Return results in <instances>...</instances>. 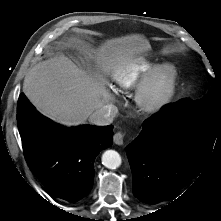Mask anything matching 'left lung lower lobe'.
<instances>
[{
	"label": "left lung lower lobe",
	"mask_w": 221,
	"mask_h": 221,
	"mask_svg": "<svg viewBox=\"0 0 221 221\" xmlns=\"http://www.w3.org/2000/svg\"><path fill=\"white\" fill-rule=\"evenodd\" d=\"M186 100L167 104L147 119L126 147L133 194L144 203L155 204L177 194L203 170L215 141L221 142V123L180 115Z\"/></svg>",
	"instance_id": "obj_1"
}]
</instances>
